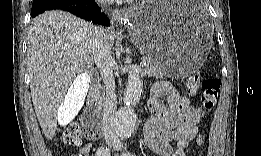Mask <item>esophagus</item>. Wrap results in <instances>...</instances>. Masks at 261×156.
I'll list each match as a JSON object with an SVG mask.
<instances>
[{"label": "esophagus", "instance_id": "obj_1", "mask_svg": "<svg viewBox=\"0 0 261 156\" xmlns=\"http://www.w3.org/2000/svg\"><path fill=\"white\" fill-rule=\"evenodd\" d=\"M125 15V11L121 9H117L112 13V18L114 21L122 20V17Z\"/></svg>", "mask_w": 261, "mask_h": 156}]
</instances>
